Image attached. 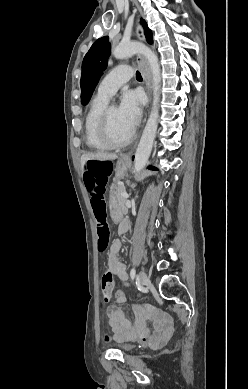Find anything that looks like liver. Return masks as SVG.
I'll return each mask as SVG.
<instances>
[{"label": "liver", "instance_id": "1", "mask_svg": "<svg viewBox=\"0 0 248 389\" xmlns=\"http://www.w3.org/2000/svg\"><path fill=\"white\" fill-rule=\"evenodd\" d=\"M117 154L112 153H85L81 156V163L84 165L89 160H97V161H107V160H115L117 158Z\"/></svg>", "mask_w": 248, "mask_h": 389}]
</instances>
